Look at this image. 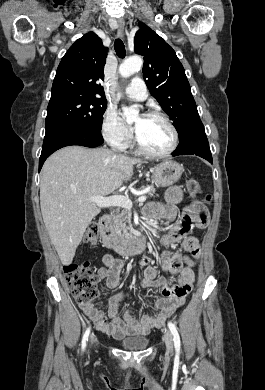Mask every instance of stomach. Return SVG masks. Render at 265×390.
<instances>
[{"instance_id": "1", "label": "stomach", "mask_w": 265, "mask_h": 390, "mask_svg": "<svg viewBox=\"0 0 265 390\" xmlns=\"http://www.w3.org/2000/svg\"><path fill=\"white\" fill-rule=\"evenodd\" d=\"M183 167L174 161H165L152 169V181L156 186L167 187L179 180Z\"/></svg>"}]
</instances>
